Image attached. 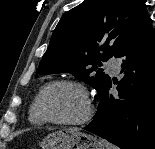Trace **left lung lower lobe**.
I'll use <instances>...</instances> for the list:
<instances>
[{"mask_svg":"<svg viewBox=\"0 0 155 149\" xmlns=\"http://www.w3.org/2000/svg\"><path fill=\"white\" fill-rule=\"evenodd\" d=\"M115 57L122 60L124 73L118 97L109 93L110 80L84 129L123 149H155V29L150 17Z\"/></svg>","mask_w":155,"mask_h":149,"instance_id":"1","label":"left lung lower lobe"}]
</instances>
